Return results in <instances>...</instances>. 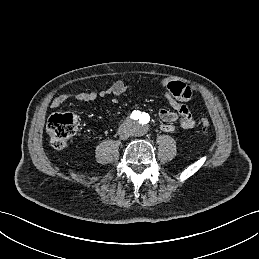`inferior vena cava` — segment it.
<instances>
[{"instance_id": "obj_1", "label": "inferior vena cava", "mask_w": 259, "mask_h": 259, "mask_svg": "<svg viewBox=\"0 0 259 259\" xmlns=\"http://www.w3.org/2000/svg\"><path fill=\"white\" fill-rule=\"evenodd\" d=\"M120 137L122 139H127L129 137V134H126V133L124 134V133L120 132Z\"/></svg>"}]
</instances>
